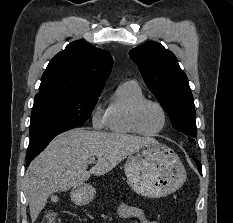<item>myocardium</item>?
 Segmentation results:
<instances>
[{
	"label": "myocardium",
	"instance_id": "1",
	"mask_svg": "<svg viewBox=\"0 0 233 223\" xmlns=\"http://www.w3.org/2000/svg\"><path fill=\"white\" fill-rule=\"evenodd\" d=\"M147 104L156 105L157 107L160 108V110L163 113L164 126L158 132L148 133V132L144 131L143 128L141 127L140 114H141V111L144 108V106L147 105ZM130 122H131L132 128L139 135L146 136V137L159 136V135L163 134L167 130L168 126H169V114H168L167 109L164 107V105L162 103H160L159 101L154 100V99H149V98H143L133 106V108L131 110V114H130Z\"/></svg>",
	"mask_w": 233,
	"mask_h": 223
}]
</instances>
